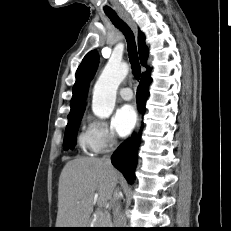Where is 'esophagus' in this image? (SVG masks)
<instances>
[{"mask_svg":"<svg viewBox=\"0 0 231 231\" xmlns=\"http://www.w3.org/2000/svg\"><path fill=\"white\" fill-rule=\"evenodd\" d=\"M119 15L131 27L133 32L137 34V26L135 22L131 19V17L123 12H120ZM140 125H141V117L139 116L137 119L136 132L139 130Z\"/></svg>","mask_w":231,"mask_h":231,"instance_id":"obj_1","label":"esophagus"}]
</instances>
